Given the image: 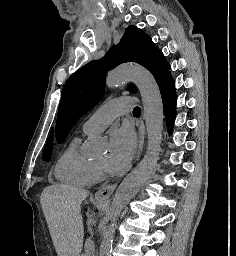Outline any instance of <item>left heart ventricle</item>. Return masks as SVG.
Masks as SVG:
<instances>
[{
	"mask_svg": "<svg viewBox=\"0 0 236 256\" xmlns=\"http://www.w3.org/2000/svg\"><path fill=\"white\" fill-rule=\"evenodd\" d=\"M104 160H105V156L103 155V156H101V157L98 159L97 163L102 164V163L104 162Z\"/></svg>",
	"mask_w": 236,
	"mask_h": 256,
	"instance_id": "left-heart-ventricle-1",
	"label": "left heart ventricle"
}]
</instances>
